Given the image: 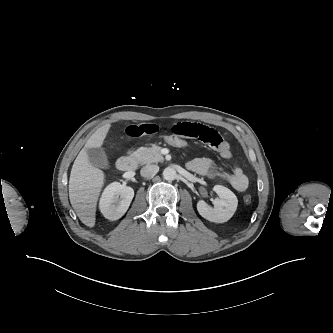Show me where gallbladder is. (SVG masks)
Here are the masks:
<instances>
[{"instance_id":"obj_1","label":"gallbladder","mask_w":333,"mask_h":333,"mask_svg":"<svg viewBox=\"0 0 333 333\" xmlns=\"http://www.w3.org/2000/svg\"><path fill=\"white\" fill-rule=\"evenodd\" d=\"M87 154L89 161L93 166L105 170L110 168L107 155L102 148L87 149Z\"/></svg>"}]
</instances>
